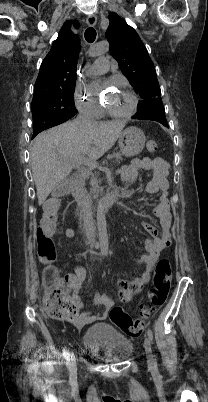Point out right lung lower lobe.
Wrapping results in <instances>:
<instances>
[{"label": "right lung lower lobe", "instance_id": "98d812e1", "mask_svg": "<svg viewBox=\"0 0 208 402\" xmlns=\"http://www.w3.org/2000/svg\"><path fill=\"white\" fill-rule=\"evenodd\" d=\"M67 120L68 119H59L57 117H40L33 120L34 130L32 138H34L39 132L51 128L53 126L59 125Z\"/></svg>", "mask_w": 208, "mask_h": 402}]
</instances>
